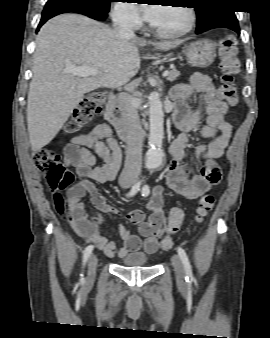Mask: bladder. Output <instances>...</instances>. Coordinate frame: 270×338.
I'll return each mask as SVG.
<instances>
[{
  "mask_svg": "<svg viewBox=\"0 0 270 338\" xmlns=\"http://www.w3.org/2000/svg\"><path fill=\"white\" fill-rule=\"evenodd\" d=\"M150 258L142 253L126 255L121 260V265L128 268L147 267L149 265Z\"/></svg>",
  "mask_w": 270,
  "mask_h": 338,
  "instance_id": "obj_1",
  "label": "bladder"
}]
</instances>
